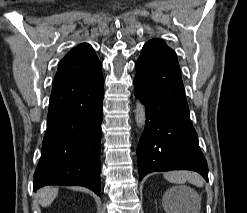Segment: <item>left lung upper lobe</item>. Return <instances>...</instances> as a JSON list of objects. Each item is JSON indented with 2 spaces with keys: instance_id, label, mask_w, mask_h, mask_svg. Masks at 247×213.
I'll list each match as a JSON object with an SVG mask.
<instances>
[{
  "instance_id": "left-lung-upper-lobe-1",
  "label": "left lung upper lobe",
  "mask_w": 247,
  "mask_h": 213,
  "mask_svg": "<svg viewBox=\"0 0 247 213\" xmlns=\"http://www.w3.org/2000/svg\"><path fill=\"white\" fill-rule=\"evenodd\" d=\"M161 54L176 56L175 52L171 50L164 41L160 39H153L144 45L139 58L155 57Z\"/></svg>"
}]
</instances>
